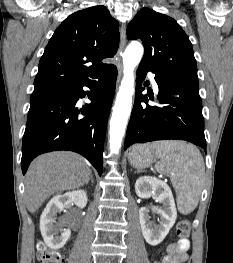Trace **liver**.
Masks as SVG:
<instances>
[{
  "instance_id": "liver-1",
  "label": "liver",
  "mask_w": 233,
  "mask_h": 263,
  "mask_svg": "<svg viewBox=\"0 0 233 263\" xmlns=\"http://www.w3.org/2000/svg\"><path fill=\"white\" fill-rule=\"evenodd\" d=\"M92 172L86 160L73 152H51L30 164L25 180V201L34 213L54 193L87 184Z\"/></svg>"
}]
</instances>
